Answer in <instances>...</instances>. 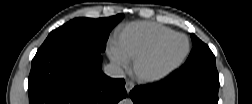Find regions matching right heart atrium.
Listing matches in <instances>:
<instances>
[{
    "label": "right heart atrium",
    "mask_w": 252,
    "mask_h": 104,
    "mask_svg": "<svg viewBox=\"0 0 252 104\" xmlns=\"http://www.w3.org/2000/svg\"><path fill=\"white\" fill-rule=\"evenodd\" d=\"M111 61L120 69H128L129 61L118 51L115 44H111L108 49Z\"/></svg>",
    "instance_id": "obj_1"
}]
</instances>
